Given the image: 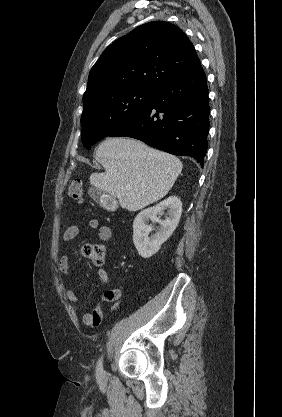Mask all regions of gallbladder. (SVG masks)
Listing matches in <instances>:
<instances>
[{
    "mask_svg": "<svg viewBox=\"0 0 282 417\" xmlns=\"http://www.w3.org/2000/svg\"><path fill=\"white\" fill-rule=\"evenodd\" d=\"M91 198H94L98 204H101V206H104L106 204L107 200H109L108 196L105 194V190H102V188H96V186H91L88 190Z\"/></svg>",
    "mask_w": 282,
    "mask_h": 417,
    "instance_id": "bac80fb5",
    "label": "gallbladder"
}]
</instances>
